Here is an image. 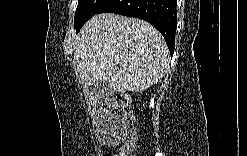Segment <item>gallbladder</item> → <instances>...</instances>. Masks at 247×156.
<instances>
[{
  "label": "gallbladder",
  "mask_w": 247,
  "mask_h": 156,
  "mask_svg": "<svg viewBox=\"0 0 247 156\" xmlns=\"http://www.w3.org/2000/svg\"><path fill=\"white\" fill-rule=\"evenodd\" d=\"M90 93H105L107 95L112 94L113 90L103 81L99 80L89 86Z\"/></svg>",
  "instance_id": "obj_1"
}]
</instances>
